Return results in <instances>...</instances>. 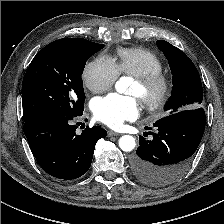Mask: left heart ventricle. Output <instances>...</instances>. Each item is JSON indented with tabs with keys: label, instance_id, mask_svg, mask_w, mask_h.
Masks as SVG:
<instances>
[{
	"label": "left heart ventricle",
	"instance_id": "b2bd125f",
	"mask_svg": "<svg viewBox=\"0 0 224 224\" xmlns=\"http://www.w3.org/2000/svg\"><path fill=\"white\" fill-rule=\"evenodd\" d=\"M129 93L133 94V95L141 96L142 89H141L140 85L136 81L132 84V86H131V88L129 90Z\"/></svg>",
	"mask_w": 224,
	"mask_h": 224
}]
</instances>
